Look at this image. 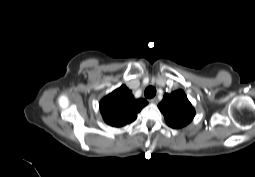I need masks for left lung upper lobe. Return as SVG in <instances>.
Masks as SVG:
<instances>
[{
	"label": "left lung upper lobe",
	"mask_w": 255,
	"mask_h": 177,
	"mask_svg": "<svg viewBox=\"0 0 255 177\" xmlns=\"http://www.w3.org/2000/svg\"><path fill=\"white\" fill-rule=\"evenodd\" d=\"M158 108L163 113L167 125L174 129L188 125L195 116V109L183 90L166 93Z\"/></svg>",
	"instance_id": "obj_1"
}]
</instances>
